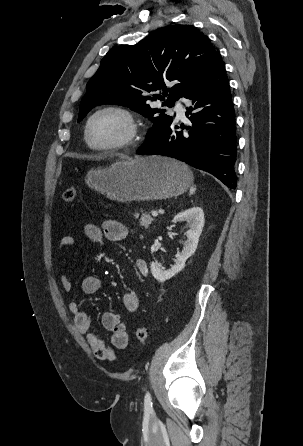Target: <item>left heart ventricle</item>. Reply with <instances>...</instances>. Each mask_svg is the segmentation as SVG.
<instances>
[{
  "instance_id": "obj_1",
  "label": "left heart ventricle",
  "mask_w": 303,
  "mask_h": 446,
  "mask_svg": "<svg viewBox=\"0 0 303 446\" xmlns=\"http://www.w3.org/2000/svg\"><path fill=\"white\" fill-rule=\"evenodd\" d=\"M127 132L124 120L114 113L97 116L89 131L90 141L96 146H105L118 142Z\"/></svg>"
}]
</instances>
